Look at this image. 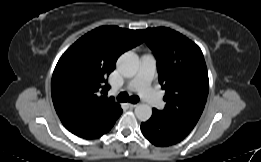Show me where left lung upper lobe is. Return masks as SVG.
Listing matches in <instances>:
<instances>
[{
    "mask_svg": "<svg viewBox=\"0 0 261 162\" xmlns=\"http://www.w3.org/2000/svg\"><path fill=\"white\" fill-rule=\"evenodd\" d=\"M157 59L159 83L166 90L165 118L193 129L209 91L206 63L201 49L184 35L166 27L138 30Z\"/></svg>",
    "mask_w": 261,
    "mask_h": 162,
    "instance_id": "obj_1",
    "label": "left lung upper lobe"
}]
</instances>
